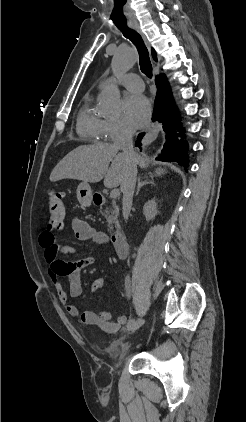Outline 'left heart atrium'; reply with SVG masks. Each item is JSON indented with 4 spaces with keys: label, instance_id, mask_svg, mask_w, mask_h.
I'll return each mask as SVG.
<instances>
[{
    "label": "left heart atrium",
    "instance_id": "39dd6f15",
    "mask_svg": "<svg viewBox=\"0 0 246 422\" xmlns=\"http://www.w3.org/2000/svg\"><path fill=\"white\" fill-rule=\"evenodd\" d=\"M124 118L134 128H142L149 123L151 107L148 99L139 94L127 96L123 102Z\"/></svg>",
    "mask_w": 246,
    "mask_h": 422
}]
</instances>
